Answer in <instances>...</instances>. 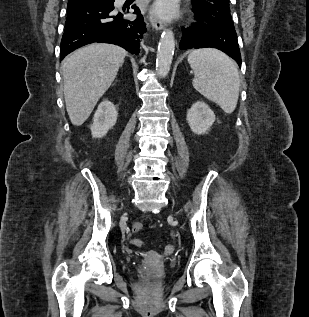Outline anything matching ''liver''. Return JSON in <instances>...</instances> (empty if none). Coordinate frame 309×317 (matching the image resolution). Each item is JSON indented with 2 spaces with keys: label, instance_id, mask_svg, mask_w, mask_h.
I'll return each instance as SVG.
<instances>
[{
  "label": "liver",
  "instance_id": "obj_1",
  "mask_svg": "<svg viewBox=\"0 0 309 317\" xmlns=\"http://www.w3.org/2000/svg\"><path fill=\"white\" fill-rule=\"evenodd\" d=\"M127 52L96 43L68 55L62 63L66 109L75 126L82 125L113 83Z\"/></svg>",
  "mask_w": 309,
  "mask_h": 317
}]
</instances>
